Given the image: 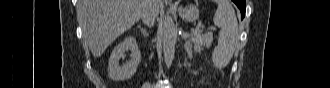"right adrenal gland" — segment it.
Listing matches in <instances>:
<instances>
[{"label": "right adrenal gland", "instance_id": "obj_1", "mask_svg": "<svg viewBox=\"0 0 330 88\" xmlns=\"http://www.w3.org/2000/svg\"><path fill=\"white\" fill-rule=\"evenodd\" d=\"M137 27L140 29V31H141V33L143 34L144 37H147L149 35L145 28L141 27L140 25H138Z\"/></svg>", "mask_w": 330, "mask_h": 88}]
</instances>
